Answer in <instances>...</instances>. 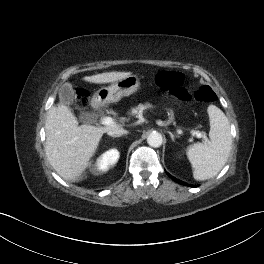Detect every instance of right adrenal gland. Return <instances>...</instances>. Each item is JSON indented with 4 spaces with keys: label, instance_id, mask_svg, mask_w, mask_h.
Wrapping results in <instances>:
<instances>
[{
    "label": "right adrenal gland",
    "instance_id": "2a0ac1e0",
    "mask_svg": "<svg viewBox=\"0 0 264 264\" xmlns=\"http://www.w3.org/2000/svg\"><path fill=\"white\" fill-rule=\"evenodd\" d=\"M122 135H117V136H113V138H118V137H121Z\"/></svg>",
    "mask_w": 264,
    "mask_h": 264
}]
</instances>
